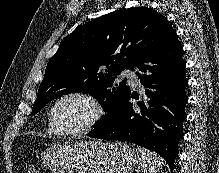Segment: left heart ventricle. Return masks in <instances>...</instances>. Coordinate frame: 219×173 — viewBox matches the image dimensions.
Returning a JSON list of instances; mask_svg holds the SVG:
<instances>
[{"label":"left heart ventricle","instance_id":"obj_1","mask_svg":"<svg viewBox=\"0 0 219 173\" xmlns=\"http://www.w3.org/2000/svg\"><path fill=\"white\" fill-rule=\"evenodd\" d=\"M90 115L89 106L82 100L70 98L62 101L55 109L54 120L62 131L80 127Z\"/></svg>","mask_w":219,"mask_h":173}]
</instances>
